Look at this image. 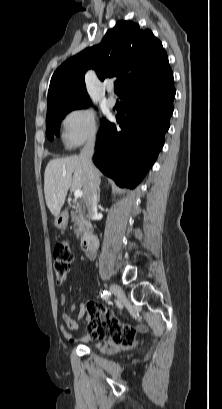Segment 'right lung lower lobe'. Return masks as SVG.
I'll return each mask as SVG.
<instances>
[{"instance_id": "right-lung-lower-lobe-1", "label": "right lung lower lobe", "mask_w": 222, "mask_h": 409, "mask_svg": "<svg viewBox=\"0 0 222 409\" xmlns=\"http://www.w3.org/2000/svg\"><path fill=\"white\" fill-rule=\"evenodd\" d=\"M141 87L123 96L119 127L108 122L95 146V165L121 187L134 188L153 165L173 113L172 71Z\"/></svg>"}]
</instances>
